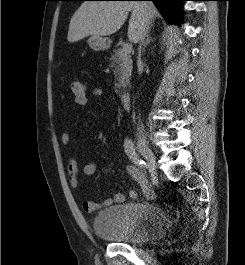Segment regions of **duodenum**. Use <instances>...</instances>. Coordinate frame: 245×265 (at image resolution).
I'll return each instance as SVG.
<instances>
[{"mask_svg": "<svg viewBox=\"0 0 245 265\" xmlns=\"http://www.w3.org/2000/svg\"><path fill=\"white\" fill-rule=\"evenodd\" d=\"M131 100H132L131 93H129L127 91H123L122 92V103L126 109L131 108Z\"/></svg>", "mask_w": 245, "mask_h": 265, "instance_id": "obj_1", "label": "duodenum"}]
</instances>
